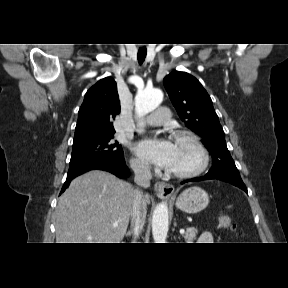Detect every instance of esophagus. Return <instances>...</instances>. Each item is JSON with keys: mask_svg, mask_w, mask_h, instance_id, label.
Wrapping results in <instances>:
<instances>
[{"mask_svg": "<svg viewBox=\"0 0 288 288\" xmlns=\"http://www.w3.org/2000/svg\"><path fill=\"white\" fill-rule=\"evenodd\" d=\"M154 190L159 197H170L174 193V186L166 182H156Z\"/></svg>", "mask_w": 288, "mask_h": 288, "instance_id": "34e87169", "label": "esophagus"}]
</instances>
